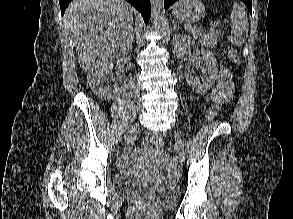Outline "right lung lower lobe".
I'll return each mask as SVG.
<instances>
[{
  "label": "right lung lower lobe",
  "mask_w": 293,
  "mask_h": 219,
  "mask_svg": "<svg viewBox=\"0 0 293 219\" xmlns=\"http://www.w3.org/2000/svg\"><path fill=\"white\" fill-rule=\"evenodd\" d=\"M72 0H59L61 7V14L63 15L66 7ZM133 5L142 15L144 22L147 23L151 15L150 0H127Z\"/></svg>",
  "instance_id": "1"
}]
</instances>
